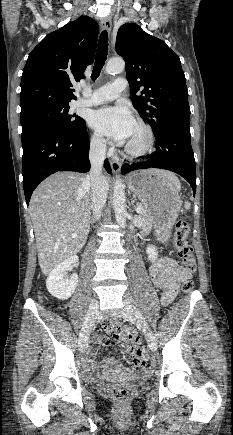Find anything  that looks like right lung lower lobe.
<instances>
[{
	"instance_id": "98d812e1",
	"label": "right lung lower lobe",
	"mask_w": 233,
	"mask_h": 435,
	"mask_svg": "<svg viewBox=\"0 0 233 435\" xmlns=\"http://www.w3.org/2000/svg\"><path fill=\"white\" fill-rule=\"evenodd\" d=\"M22 175L27 205L38 186L57 171L86 173L90 169L89 138L84 125L76 133L48 128L22 137ZM104 167L112 173L107 159Z\"/></svg>"
}]
</instances>
